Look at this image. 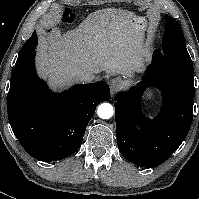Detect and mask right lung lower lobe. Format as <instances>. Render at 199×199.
<instances>
[{
    "mask_svg": "<svg viewBox=\"0 0 199 199\" xmlns=\"http://www.w3.org/2000/svg\"><path fill=\"white\" fill-rule=\"evenodd\" d=\"M35 50L15 64L7 99L11 128L22 147L35 159L56 161L75 153L97 105L107 101L104 81L77 84L52 93L39 79Z\"/></svg>",
    "mask_w": 199,
    "mask_h": 199,
    "instance_id": "right-lung-lower-lobe-1",
    "label": "right lung lower lobe"
}]
</instances>
